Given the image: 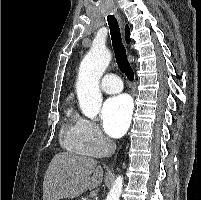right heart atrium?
<instances>
[{
    "label": "right heart atrium",
    "mask_w": 201,
    "mask_h": 200,
    "mask_svg": "<svg viewBox=\"0 0 201 200\" xmlns=\"http://www.w3.org/2000/svg\"><path fill=\"white\" fill-rule=\"evenodd\" d=\"M77 132L80 146L87 155L101 156L107 153L111 147L110 140L91 120L77 117Z\"/></svg>",
    "instance_id": "right-heart-atrium-1"
}]
</instances>
